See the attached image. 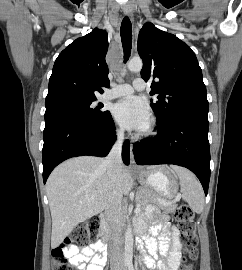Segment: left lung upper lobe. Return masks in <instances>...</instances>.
<instances>
[{
    "instance_id": "left-lung-upper-lobe-1",
    "label": "left lung upper lobe",
    "mask_w": 242,
    "mask_h": 270,
    "mask_svg": "<svg viewBox=\"0 0 242 270\" xmlns=\"http://www.w3.org/2000/svg\"><path fill=\"white\" fill-rule=\"evenodd\" d=\"M138 53L143 60L142 78L151 84L150 95L157 94L151 107L157 124L184 113H208L206 87L195 53L175 35L143 25L138 36Z\"/></svg>"
}]
</instances>
